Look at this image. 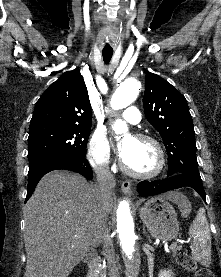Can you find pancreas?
<instances>
[{"mask_svg": "<svg viewBox=\"0 0 221 277\" xmlns=\"http://www.w3.org/2000/svg\"><path fill=\"white\" fill-rule=\"evenodd\" d=\"M181 247L175 248L172 250L173 254L176 255L177 250H180ZM105 271H101L100 277H104Z\"/></svg>", "mask_w": 221, "mask_h": 277, "instance_id": "1", "label": "pancreas"}]
</instances>
